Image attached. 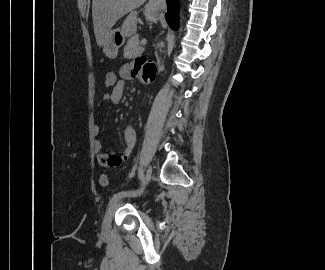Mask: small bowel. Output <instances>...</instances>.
<instances>
[{
  "label": "small bowel",
  "mask_w": 325,
  "mask_h": 270,
  "mask_svg": "<svg viewBox=\"0 0 325 270\" xmlns=\"http://www.w3.org/2000/svg\"><path fill=\"white\" fill-rule=\"evenodd\" d=\"M157 74V67L152 60L146 57H138L134 64H125L120 69L118 81L119 86L116 90H110L106 93L102 102H111L118 104L122 101L125 90V81L142 76L144 81L154 80ZM100 133V126L98 124L93 127L94 136H98ZM123 138L125 141V149L122 154L112 153L108 154L103 151L102 142L98 139L94 142V153L97 161L102 166L116 167L126 160L133 152L136 142V132L132 126H126L123 131Z\"/></svg>",
  "instance_id": "small-bowel-1"
}]
</instances>
